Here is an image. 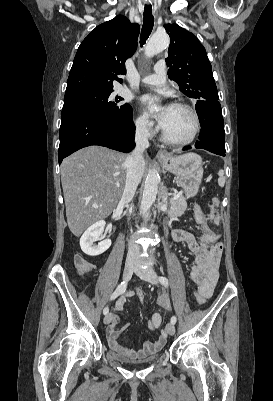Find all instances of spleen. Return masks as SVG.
Returning <instances> with one entry per match:
<instances>
[{
    "instance_id": "3e777b00",
    "label": "spleen",
    "mask_w": 273,
    "mask_h": 401,
    "mask_svg": "<svg viewBox=\"0 0 273 401\" xmlns=\"http://www.w3.org/2000/svg\"><path fill=\"white\" fill-rule=\"evenodd\" d=\"M218 174H219L218 184L219 186H224L225 184V176H223L224 170H219Z\"/></svg>"
}]
</instances>
